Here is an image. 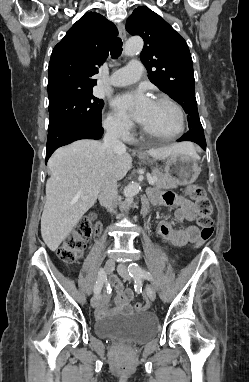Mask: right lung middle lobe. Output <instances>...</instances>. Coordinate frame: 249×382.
<instances>
[{"label": "right lung middle lobe", "mask_w": 249, "mask_h": 382, "mask_svg": "<svg viewBox=\"0 0 249 382\" xmlns=\"http://www.w3.org/2000/svg\"><path fill=\"white\" fill-rule=\"evenodd\" d=\"M103 106L104 102L92 92L64 97L49 103L48 132L79 122L98 123L101 121Z\"/></svg>", "instance_id": "right-lung-middle-lobe-1"}]
</instances>
